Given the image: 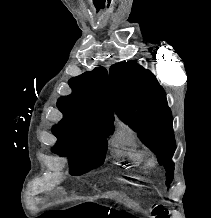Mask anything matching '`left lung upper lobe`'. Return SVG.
Returning <instances> with one entry per match:
<instances>
[{
	"label": "left lung upper lobe",
	"instance_id": "obj_1",
	"mask_svg": "<svg viewBox=\"0 0 211 218\" xmlns=\"http://www.w3.org/2000/svg\"><path fill=\"white\" fill-rule=\"evenodd\" d=\"M109 72L117 115L156 154L159 164L166 169L169 186L174 175L171 158L176 144L164 89L151 71L135 62L114 64Z\"/></svg>",
	"mask_w": 211,
	"mask_h": 218
}]
</instances>
